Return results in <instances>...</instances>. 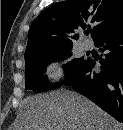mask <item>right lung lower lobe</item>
Instances as JSON below:
<instances>
[{
  "label": "right lung lower lobe",
  "instance_id": "1",
  "mask_svg": "<svg viewBox=\"0 0 123 130\" xmlns=\"http://www.w3.org/2000/svg\"><path fill=\"white\" fill-rule=\"evenodd\" d=\"M95 46L104 53L101 71H94L95 61L88 58L84 66L63 84L95 102L123 123V25L97 39Z\"/></svg>",
  "mask_w": 123,
  "mask_h": 130
}]
</instances>
